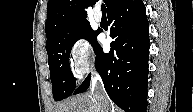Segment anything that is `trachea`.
I'll list each match as a JSON object with an SVG mask.
<instances>
[{
    "instance_id": "trachea-1",
    "label": "trachea",
    "mask_w": 193,
    "mask_h": 112,
    "mask_svg": "<svg viewBox=\"0 0 193 112\" xmlns=\"http://www.w3.org/2000/svg\"><path fill=\"white\" fill-rule=\"evenodd\" d=\"M101 11L103 14L106 12V7L104 4L101 5Z\"/></svg>"
}]
</instances>
